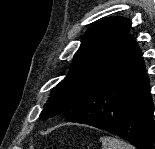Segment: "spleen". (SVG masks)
<instances>
[{
	"label": "spleen",
	"instance_id": "obj_1",
	"mask_svg": "<svg viewBox=\"0 0 155 149\" xmlns=\"http://www.w3.org/2000/svg\"><path fill=\"white\" fill-rule=\"evenodd\" d=\"M99 140L102 143V149H135L129 143L114 137L103 136Z\"/></svg>",
	"mask_w": 155,
	"mask_h": 149
}]
</instances>
